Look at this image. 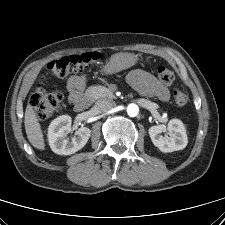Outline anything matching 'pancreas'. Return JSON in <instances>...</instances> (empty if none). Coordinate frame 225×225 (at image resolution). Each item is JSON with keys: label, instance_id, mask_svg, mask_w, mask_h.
<instances>
[{"label": "pancreas", "instance_id": "obj_1", "mask_svg": "<svg viewBox=\"0 0 225 225\" xmlns=\"http://www.w3.org/2000/svg\"><path fill=\"white\" fill-rule=\"evenodd\" d=\"M86 94L94 99L98 98H113V93L104 86H92L87 89Z\"/></svg>", "mask_w": 225, "mask_h": 225}]
</instances>
